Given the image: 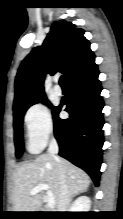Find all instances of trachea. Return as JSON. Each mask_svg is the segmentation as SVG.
Masks as SVG:
<instances>
[{"mask_svg":"<svg viewBox=\"0 0 123 219\" xmlns=\"http://www.w3.org/2000/svg\"><path fill=\"white\" fill-rule=\"evenodd\" d=\"M59 82H60V85H66L65 77H64V76H61Z\"/></svg>","mask_w":123,"mask_h":219,"instance_id":"trachea-1","label":"trachea"}]
</instances>
